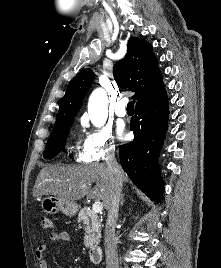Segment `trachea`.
I'll return each mask as SVG.
<instances>
[{
  "mask_svg": "<svg viewBox=\"0 0 221 268\" xmlns=\"http://www.w3.org/2000/svg\"><path fill=\"white\" fill-rule=\"evenodd\" d=\"M135 101H130L127 105V109L133 110Z\"/></svg>",
  "mask_w": 221,
  "mask_h": 268,
  "instance_id": "1",
  "label": "trachea"
}]
</instances>
